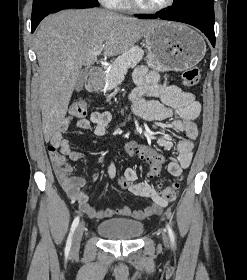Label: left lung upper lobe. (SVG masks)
Segmentation results:
<instances>
[{
	"mask_svg": "<svg viewBox=\"0 0 247 280\" xmlns=\"http://www.w3.org/2000/svg\"><path fill=\"white\" fill-rule=\"evenodd\" d=\"M195 8H214V0H176L175 5L170 9L182 11Z\"/></svg>",
	"mask_w": 247,
	"mask_h": 280,
	"instance_id": "obj_1",
	"label": "left lung upper lobe"
}]
</instances>
